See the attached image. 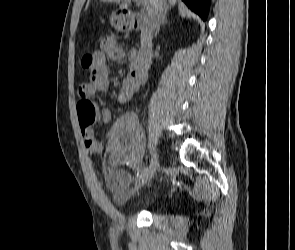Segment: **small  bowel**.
I'll return each instance as SVG.
<instances>
[{"instance_id":"small-bowel-1","label":"small bowel","mask_w":295,"mask_h":250,"mask_svg":"<svg viewBox=\"0 0 295 250\" xmlns=\"http://www.w3.org/2000/svg\"><path fill=\"white\" fill-rule=\"evenodd\" d=\"M96 67L91 73V80L79 86L77 93L80 99L90 98L96 93H105L110 89L109 61H119L125 57V52L111 36H105L100 41V50L93 53ZM136 57L132 58V69L122 83L117 96L121 104L128 103L139 91L141 83L133 73ZM102 120L105 124L111 121L109 109L102 110ZM84 146L88 154L98 155L103 151V145L95 139L90 129H82ZM143 152V134L138 119L134 113L128 112L120 116L114 123L110 134V153L114 162L126 159L138 160ZM132 182L130 173L111 168L107 176V184L117 199H125L129 195Z\"/></svg>"}]
</instances>
